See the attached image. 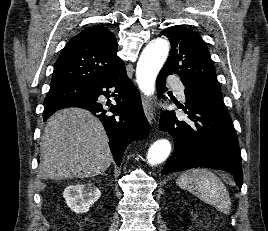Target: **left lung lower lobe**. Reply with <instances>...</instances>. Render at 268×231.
Wrapping results in <instances>:
<instances>
[{"label":"left lung lower lobe","mask_w":268,"mask_h":231,"mask_svg":"<svg viewBox=\"0 0 268 231\" xmlns=\"http://www.w3.org/2000/svg\"><path fill=\"white\" fill-rule=\"evenodd\" d=\"M160 71L157 77L158 95L167 90ZM188 121L179 120L173 111H163L159 128L174 139V152L162 171L165 175L194 167H209L229 171L241 189L243 173L237 135L230 116L185 90ZM188 109V111H186Z\"/></svg>","instance_id":"left-lung-lower-lobe-1"}]
</instances>
